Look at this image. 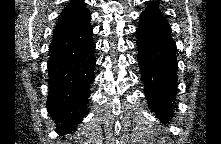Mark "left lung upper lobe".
Wrapping results in <instances>:
<instances>
[{
  "label": "left lung upper lobe",
  "mask_w": 221,
  "mask_h": 144,
  "mask_svg": "<svg viewBox=\"0 0 221 144\" xmlns=\"http://www.w3.org/2000/svg\"><path fill=\"white\" fill-rule=\"evenodd\" d=\"M142 14H155L163 17L158 10V7L155 3L149 4L147 9Z\"/></svg>",
  "instance_id": "left-lung-upper-lobe-1"
}]
</instances>
